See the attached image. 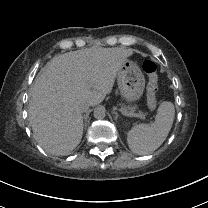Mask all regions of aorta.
I'll return each mask as SVG.
<instances>
[{"mask_svg": "<svg viewBox=\"0 0 208 208\" xmlns=\"http://www.w3.org/2000/svg\"><path fill=\"white\" fill-rule=\"evenodd\" d=\"M94 118L96 119H104L105 118V109L102 107H98L94 111Z\"/></svg>", "mask_w": 208, "mask_h": 208, "instance_id": "aorta-1", "label": "aorta"}]
</instances>
